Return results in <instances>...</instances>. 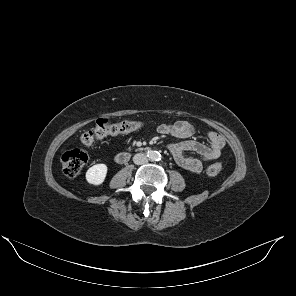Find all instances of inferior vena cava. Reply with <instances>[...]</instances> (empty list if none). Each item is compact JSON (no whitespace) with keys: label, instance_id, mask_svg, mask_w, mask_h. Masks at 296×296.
<instances>
[{"label":"inferior vena cava","instance_id":"obj_1","mask_svg":"<svg viewBox=\"0 0 296 296\" xmlns=\"http://www.w3.org/2000/svg\"><path fill=\"white\" fill-rule=\"evenodd\" d=\"M133 162L137 165L145 164L148 162V158L143 153H137L133 157Z\"/></svg>","mask_w":296,"mask_h":296}]
</instances>
